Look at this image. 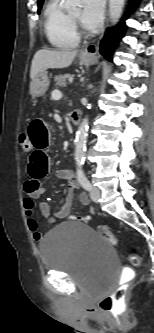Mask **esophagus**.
<instances>
[{"mask_svg": "<svg viewBox=\"0 0 154 333\" xmlns=\"http://www.w3.org/2000/svg\"><path fill=\"white\" fill-rule=\"evenodd\" d=\"M98 52V47L96 45H90L87 48H85L83 51H81V54L84 56H94Z\"/></svg>", "mask_w": 154, "mask_h": 333, "instance_id": "obj_1", "label": "esophagus"}]
</instances>
